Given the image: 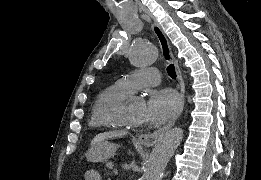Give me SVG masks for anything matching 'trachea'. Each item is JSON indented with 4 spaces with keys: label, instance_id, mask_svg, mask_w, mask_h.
I'll return each instance as SVG.
<instances>
[{
    "label": "trachea",
    "instance_id": "obj_1",
    "mask_svg": "<svg viewBox=\"0 0 261 180\" xmlns=\"http://www.w3.org/2000/svg\"><path fill=\"white\" fill-rule=\"evenodd\" d=\"M167 73H168L169 77L176 78V72H175V67H174L173 63H171L167 67Z\"/></svg>",
    "mask_w": 261,
    "mask_h": 180
}]
</instances>
